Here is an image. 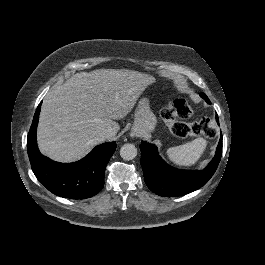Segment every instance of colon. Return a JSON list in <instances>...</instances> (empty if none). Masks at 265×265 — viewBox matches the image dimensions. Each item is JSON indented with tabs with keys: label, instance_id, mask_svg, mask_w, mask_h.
<instances>
[{
	"label": "colon",
	"instance_id": "colon-1",
	"mask_svg": "<svg viewBox=\"0 0 265 265\" xmlns=\"http://www.w3.org/2000/svg\"><path fill=\"white\" fill-rule=\"evenodd\" d=\"M191 114L192 108L186 100L176 99L162 111L161 117L170 131L180 138L200 135L214 137L216 135V130L210 126L209 120L206 118L187 123L186 119Z\"/></svg>",
	"mask_w": 265,
	"mask_h": 265
}]
</instances>
